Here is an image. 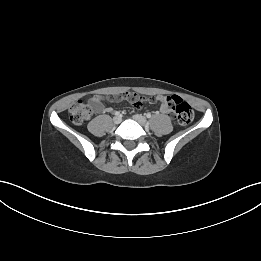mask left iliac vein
I'll return each instance as SVG.
<instances>
[{
	"mask_svg": "<svg viewBox=\"0 0 261 261\" xmlns=\"http://www.w3.org/2000/svg\"><path fill=\"white\" fill-rule=\"evenodd\" d=\"M133 119L136 122H138L141 126H146L148 124V120L144 116H142L140 114H135L133 116Z\"/></svg>",
	"mask_w": 261,
	"mask_h": 261,
	"instance_id": "left-iliac-vein-1",
	"label": "left iliac vein"
}]
</instances>
